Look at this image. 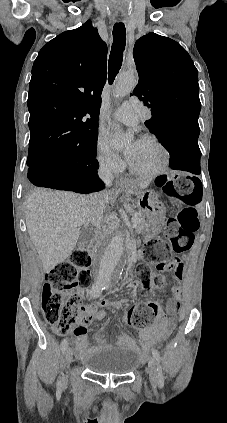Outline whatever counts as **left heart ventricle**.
I'll return each instance as SVG.
<instances>
[{
    "label": "left heart ventricle",
    "mask_w": 227,
    "mask_h": 423,
    "mask_svg": "<svg viewBox=\"0 0 227 423\" xmlns=\"http://www.w3.org/2000/svg\"><path fill=\"white\" fill-rule=\"evenodd\" d=\"M132 165L141 172H151L158 168L163 160L161 150L154 144L134 142L127 148Z\"/></svg>",
    "instance_id": "b2bd125f"
}]
</instances>
